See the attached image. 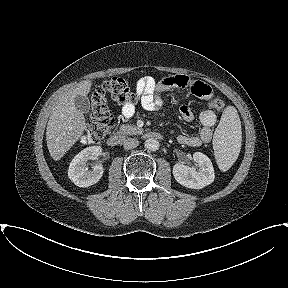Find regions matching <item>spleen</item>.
Segmentation results:
<instances>
[{"mask_svg": "<svg viewBox=\"0 0 288 288\" xmlns=\"http://www.w3.org/2000/svg\"><path fill=\"white\" fill-rule=\"evenodd\" d=\"M241 121L237 110L228 106L213 136V149L220 170L227 171L237 160L241 149Z\"/></svg>", "mask_w": 288, "mask_h": 288, "instance_id": "3e777b00", "label": "spleen"}]
</instances>
